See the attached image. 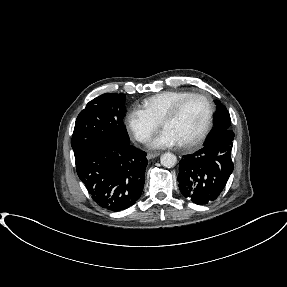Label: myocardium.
<instances>
[{
    "label": "myocardium",
    "instance_id": "1",
    "mask_svg": "<svg viewBox=\"0 0 287 287\" xmlns=\"http://www.w3.org/2000/svg\"><path fill=\"white\" fill-rule=\"evenodd\" d=\"M192 98L202 99L206 104L207 113H206L205 124H204L202 130L200 131V133L195 138H193L192 140L181 143V145L185 148L198 147L200 144H202V142L206 139V137L210 133L212 126H213V118H214V111H215L214 105H213L211 99L203 93H190V94L184 96L183 98L179 99L164 114V116L162 117V119L160 121V124L162 126L163 122L175 118L179 114V112L181 111V109L185 105V103Z\"/></svg>",
    "mask_w": 287,
    "mask_h": 287
}]
</instances>
